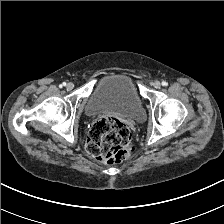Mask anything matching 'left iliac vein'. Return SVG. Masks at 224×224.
<instances>
[{"label":"left iliac vein","instance_id":"left-iliac-vein-1","mask_svg":"<svg viewBox=\"0 0 224 224\" xmlns=\"http://www.w3.org/2000/svg\"><path fill=\"white\" fill-rule=\"evenodd\" d=\"M153 86H154L155 89H159L161 87V83L159 81H155L153 83Z\"/></svg>","mask_w":224,"mask_h":224}]
</instances>
